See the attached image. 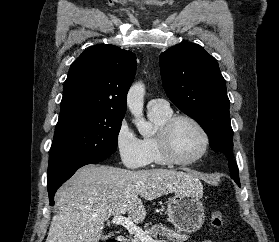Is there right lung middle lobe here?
I'll return each instance as SVG.
<instances>
[{"label":"right lung middle lobe","instance_id":"right-lung-middle-lobe-1","mask_svg":"<svg viewBox=\"0 0 279 242\" xmlns=\"http://www.w3.org/2000/svg\"><path fill=\"white\" fill-rule=\"evenodd\" d=\"M122 120L123 117L94 115L82 110L60 114L47 177L81 158L112 155L117 148Z\"/></svg>","mask_w":279,"mask_h":242}]
</instances>
